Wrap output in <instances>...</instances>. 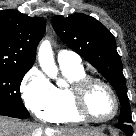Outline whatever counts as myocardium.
<instances>
[{
	"mask_svg": "<svg viewBox=\"0 0 136 136\" xmlns=\"http://www.w3.org/2000/svg\"><path fill=\"white\" fill-rule=\"evenodd\" d=\"M95 85H101L103 86L110 94L114 109L112 114L103 119L96 118L91 115V113L88 110L87 107V97L89 91L94 87ZM71 97L74 109L79 117H81L83 120L92 122V123H107L113 120L119 111V100L117 97L116 92L114 91L113 87L106 82L103 79L97 78V77H89L85 76L77 81H75L71 87H70Z\"/></svg>",
	"mask_w": 136,
	"mask_h": 136,
	"instance_id": "f54148a6",
	"label": "myocardium"
}]
</instances>
